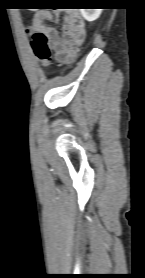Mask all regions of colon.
<instances>
[{
	"label": "colon",
	"instance_id": "1",
	"mask_svg": "<svg viewBox=\"0 0 145 278\" xmlns=\"http://www.w3.org/2000/svg\"><path fill=\"white\" fill-rule=\"evenodd\" d=\"M32 45L41 64L48 66L51 61V48L46 35L42 32L35 33L32 39Z\"/></svg>",
	"mask_w": 145,
	"mask_h": 278
}]
</instances>
